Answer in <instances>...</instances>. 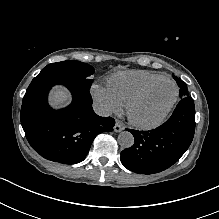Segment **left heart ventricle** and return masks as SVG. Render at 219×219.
Masks as SVG:
<instances>
[{"mask_svg": "<svg viewBox=\"0 0 219 219\" xmlns=\"http://www.w3.org/2000/svg\"><path fill=\"white\" fill-rule=\"evenodd\" d=\"M174 96V86L169 81L158 83L135 108L134 116L141 120L155 119Z\"/></svg>", "mask_w": 219, "mask_h": 219, "instance_id": "obj_1", "label": "left heart ventricle"}]
</instances>
